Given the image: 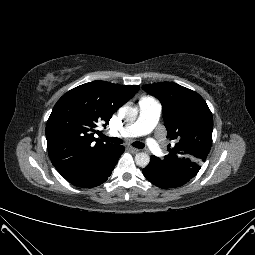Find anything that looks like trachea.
<instances>
[{
    "label": "trachea",
    "mask_w": 255,
    "mask_h": 255,
    "mask_svg": "<svg viewBox=\"0 0 255 255\" xmlns=\"http://www.w3.org/2000/svg\"><path fill=\"white\" fill-rule=\"evenodd\" d=\"M101 138L104 140V141H108V142H112V143H116V144H122L123 143V140L120 139V138H115V137H107L105 135H101ZM132 145L136 148H144V144L141 143V142H134L132 143Z\"/></svg>",
    "instance_id": "trachea-1"
}]
</instances>
